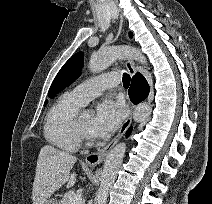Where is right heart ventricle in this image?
<instances>
[{
	"mask_svg": "<svg viewBox=\"0 0 212 204\" xmlns=\"http://www.w3.org/2000/svg\"><path fill=\"white\" fill-rule=\"evenodd\" d=\"M82 105L71 93L63 94L53 104L44 123V137L51 145L67 152L79 148L74 120Z\"/></svg>",
	"mask_w": 212,
	"mask_h": 204,
	"instance_id": "right-heart-ventricle-1",
	"label": "right heart ventricle"
}]
</instances>
